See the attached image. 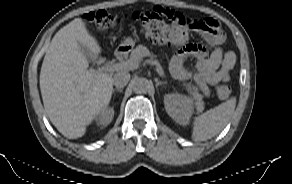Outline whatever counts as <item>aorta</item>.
<instances>
[{
	"mask_svg": "<svg viewBox=\"0 0 292 184\" xmlns=\"http://www.w3.org/2000/svg\"><path fill=\"white\" fill-rule=\"evenodd\" d=\"M150 87V82L144 77L135 78L132 82V89L137 94L146 93L150 89Z\"/></svg>",
	"mask_w": 292,
	"mask_h": 184,
	"instance_id": "aorta-1",
	"label": "aorta"
}]
</instances>
